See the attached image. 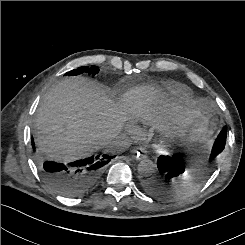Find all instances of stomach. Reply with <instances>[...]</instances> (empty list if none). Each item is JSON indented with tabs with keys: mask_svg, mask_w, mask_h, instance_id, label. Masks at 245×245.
Masks as SVG:
<instances>
[{
	"mask_svg": "<svg viewBox=\"0 0 245 245\" xmlns=\"http://www.w3.org/2000/svg\"><path fill=\"white\" fill-rule=\"evenodd\" d=\"M216 125L217 119L213 106L203 103L200 110L182 126L179 134L190 143L204 145L212 138Z\"/></svg>",
	"mask_w": 245,
	"mask_h": 245,
	"instance_id": "0dacf381",
	"label": "stomach"
}]
</instances>
